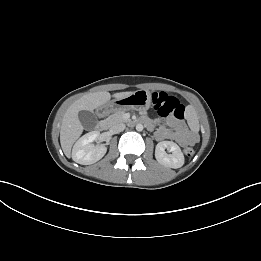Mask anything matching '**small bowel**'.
<instances>
[{"instance_id":"c3829d8e","label":"small bowel","mask_w":261,"mask_h":261,"mask_svg":"<svg viewBox=\"0 0 261 261\" xmlns=\"http://www.w3.org/2000/svg\"><path fill=\"white\" fill-rule=\"evenodd\" d=\"M149 127L153 124L149 120H145ZM155 138L158 141L171 139L181 146L192 145L197 141V136L190 132L184 122L176 119H168L166 125L160 126L155 131Z\"/></svg>"}]
</instances>
